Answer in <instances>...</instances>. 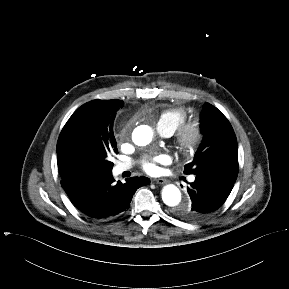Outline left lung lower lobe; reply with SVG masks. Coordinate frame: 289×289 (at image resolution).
<instances>
[{"label":"left lung lower lobe","mask_w":289,"mask_h":289,"mask_svg":"<svg viewBox=\"0 0 289 289\" xmlns=\"http://www.w3.org/2000/svg\"><path fill=\"white\" fill-rule=\"evenodd\" d=\"M235 181L214 175H199L187 188L192 204L183 215L200 220L217 210L229 196Z\"/></svg>","instance_id":"obj_1"}]
</instances>
